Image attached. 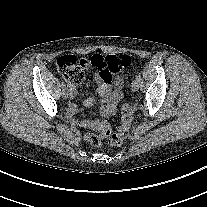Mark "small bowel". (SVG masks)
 Instances as JSON below:
<instances>
[{
    "label": "small bowel",
    "mask_w": 207,
    "mask_h": 207,
    "mask_svg": "<svg viewBox=\"0 0 207 207\" xmlns=\"http://www.w3.org/2000/svg\"><path fill=\"white\" fill-rule=\"evenodd\" d=\"M94 82L97 85V91L99 98H87L84 100L83 104L85 107H91L96 103H101L100 115L102 117H109L116 113L120 101L124 97L123 84L124 81L121 76L112 75L109 79H104L102 74H96L94 76ZM70 96L74 97L76 95V89L71 87ZM78 113V108L75 102L70 101L68 103V114L71 121L77 124L82 129L99 130L98 126L100 121L96 119H83L78 120L76 115Z\"/></svg>",
    "instance_id": "small-bowel-1"
}]
</instances>
